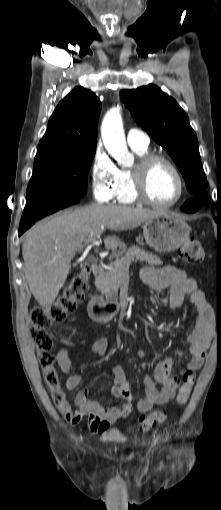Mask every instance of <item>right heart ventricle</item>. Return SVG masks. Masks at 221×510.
<instances>
[{"label":"right heart ventricle","instance_id":"obj_1","mask_svg":"<svg viewBox=\"0 0 221 510\" xmlns=\"http://www.w3.org/2000/svg\"><path fill=\"white\" fill-rule=\"evenodd\" d=\"M131 148L139 157L149 154L148 147L131 146ZM114 198L122 204H132L137 202L133 193L131 169H118V185Z\"/></svg>","mask_w":221,"mask_h":510}]
</instances>
